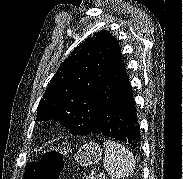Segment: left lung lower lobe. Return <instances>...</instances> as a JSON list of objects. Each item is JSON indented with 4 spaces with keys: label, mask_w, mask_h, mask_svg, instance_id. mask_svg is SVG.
<instances>
[{
    "label": "left lung lower lobe",
    "mask_w": 183,
    "mask_h": 179,
    "mask_svg": "<svg viewBox=\"0 0 183 179\" xmlns=\"http://www.w3.org/2000/svg\"><path fill=\"white\" fill-rule=\"evenodd\" d=\"M90 134L119 140L133 150H138L140 130L137 109L124 66L114 102L100 124Z\"/></svg>",
    "instance_id": "0a47b994"
}]
</instances>
